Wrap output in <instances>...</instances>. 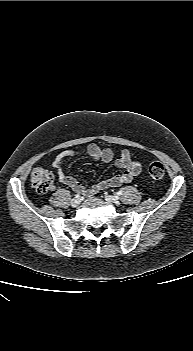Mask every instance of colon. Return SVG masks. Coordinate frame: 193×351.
<instances>
[{"mask_svg": "<svg viewBox=\"0 0 193 351\" xmlns=\"http://www.w3.org/2000/svg\"><path fill=\"white\" fill-rule=\"evenodd\" d=\"M148 173L153 180H160L165 175L164 165L159 161H154L149 165ZM30 182L35 191L43 195L52 189L54 177L45 168L38 167L32 172Z\"/></svg>", "mask_w": 193, "mask_h": 351, "instance_id": "obj_1", "label": "colon"}]
</instances>
